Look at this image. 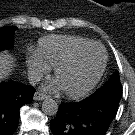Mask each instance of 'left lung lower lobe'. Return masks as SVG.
<instances>
[{"label": "left lung lower lobe", "mask_w": 135, "mask_h": 135, "mask_svg": "<svg viewBox=\"0 0 135 135\" xmlns=\"http://www.w3.org/2000/svg\"><path fill=\"white\" fill-rule=\"evenodd\" d=\"M122 87H101L86 99L64 103L51 120L53 135H105L114 119Z\"/></svg>", "instance_id": "0a47b994"}]
</instances>
